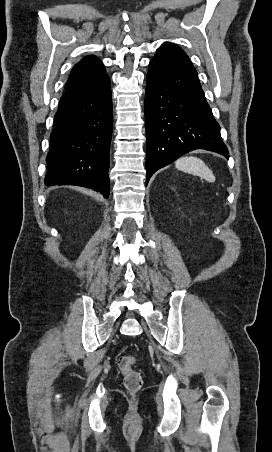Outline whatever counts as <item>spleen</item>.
I'll return each instance as SVG.
<instances>
[{
  "label": "spleen",
  "mask_w": 272,
  "mask_h": 452,
  "mask_svg": "<svg viewBox=\"0 0 272 452\" xmlns=\"http://www.w3.org/2000/svg\"><path fill=\"white\" fill-rule=\"evenodd\" d=\"M178 170L187 172L204 178L208 182H214L215 176L211 169L199 158L193 156H186L178 159L175 162Z\"/></svg>",
  "instance_id": "obj_1"
}]
</instances>
